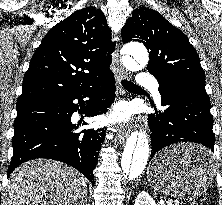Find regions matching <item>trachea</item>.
Listing matches in <instances>:
<instances>
[{
	"mask_svg": "<svg viewBox=\"0 0 222 205\" xmlns=\"http://www.w3.org/2000/svg\"><path fill=\"white\" fill-rule=\"evenodd\" d=\"M121 83H122V86L128 90H143L138 85H136L130 81H127V80H122Z\"/></svg>",
	"mask_w": 222,
	"mask_h": 205,
	"instance_id": "1",
	"label": "trachea"
}]
</instances>
